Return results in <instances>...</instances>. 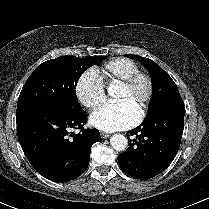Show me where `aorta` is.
Instances as JSON below:
<instances>
[{
    "mask_svg": "<svg viewBox=\"0 0 209 209\" xmlns=\"http://www.w3.org/2000/svg\"><path fill=\"white\" fill-rule=\"evenodd\" d=\"M108 93L110 95H113L114 94V88L109 87ZM110 144L113 147V149H115L116 151H124V150H126V148L128 146V140L124 135L114 134L110 138Z\"/></svg>",
    "mask_w": 209,
    "mask_h": 209,
    "instance_id": "aorta-1",
    "label": "aorta"
}]
</instances>
